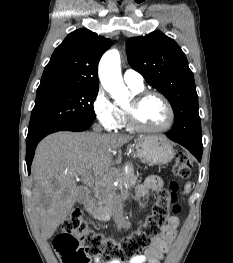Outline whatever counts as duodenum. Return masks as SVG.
<instances>
[{"instance_id": "1", "label": "duodenum", "mask_w": 233, "mask_h": 263, "mask_svg": "<svg viewBox=\"0 0 233 263\" xmlns=\"http://www.w3.org/2000/svg\"><path fill=\"white\" fill-rule=\"evenodd\" d=\"M84 207L87 211H91L94 207V200L92 198H87L85 203H84Z\"/></svg>"}]
</instances>
